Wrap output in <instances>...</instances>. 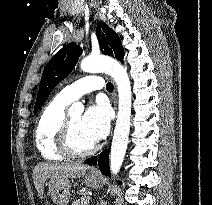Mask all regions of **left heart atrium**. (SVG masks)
I'll list each match as a JSON object with an SVG mask.
<instances>
[{"instance_id": "obj_1", "label": "left heart atrium", "mask_w": 212, "mask_h": 205, "mask_svg": "<svg viewBox=\"0 0 212 205\" xmlns=\"http://www.w3.org/2000/svg\"><path fill=\"white\" fill-rule=\"evenodd\" d=\"M111 114L104 103L91 105L82 116V126L93 142L103 139L110 128Z\"/></svg>"}]
</instances>
